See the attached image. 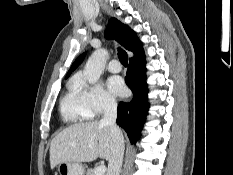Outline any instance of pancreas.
I'll use <instances>...</instances> for the list:
<instances>
[{
	"instance_id": "pancreas-1",
	"label": "pancreas",
	"mask_w": 233,
	"mask_h": 175,
	"mask_svg": "<svg viewBox=\"0 0 233 175\" xmlns=\"http://www.w3.org/2000/svg\"><path fill=\"white\" fill-rule=\"evenodd\" d=\"M86 175H95V169H88Z\"/></svg>"
}]
</instances>
